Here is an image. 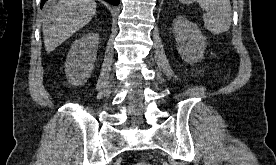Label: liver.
Instances as JSON below:
<instances>
[{
	"instance_id": "6515ba94",
	"label": "liver",
	"mask_w": 276,
	"mask_h": 165,
	"mask_svg": "<svg viewBox=\"0 0 276 165\" xmlns=\"http://www.w3.org/2000/svg\"><path fill=\"white\" fill-rule=\"evenodd\" d=\"M43 38L48 53L88 24L96 13L94 0H49L45 4Z\"/></svg>"
}]
</instances>
